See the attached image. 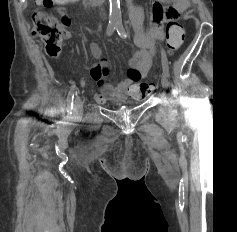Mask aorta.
<instances>
[{
    "instance_id": "aorta-1",
    "label": "aorta",
    "mask_w": 237,
    "mask_h": 232,
    "mask_svg": "<svg viewBox=\"0 0 237 232\" xmlns=\"http://www.w3.org/2000/svg\"><path fill=\"white\" fill-rule=\"evenodd\" d=\"M110 2V14L109 20L111 23L121 22V9H120V0H109Z\"/></svg>"
}]
</instances>
